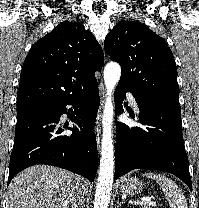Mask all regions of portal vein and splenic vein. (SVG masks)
<instances>
[{
	"label": "portal vein and splenic vein",
	"instance_id": "obj_1",
	"mask_svg": "<svg viewBox=\"0 0 199 208\" xmlns=\"http://www.w3.org/2000/svg\"><path fill=\"white\" fill-rule=\"evenodd\" d=\"M130 203L135 204V205L145 204V205H150V206H156V203L150 198H143L141 199V201H135V202H130Z\"/></svg>",
	"mask_w": 199,
	"mask_h": 208
}]
</instances>
